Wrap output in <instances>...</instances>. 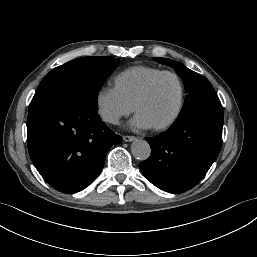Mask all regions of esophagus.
Listing matches in <instances>:
<instances>
[{
	"label": "esophagus",
	"instance_id": "34e87169",
	"mask_svg": "<svg viewBox=\"0 0 257 257\" xmlns=\"http://www.w3.org/2000/svg\"><path fill=\"white\" fill-rule=\"evenodd\" d=\"M137 138L135 137V136H130V135H125L124 137H123V140L125 141V142H131V141H134V140H136Z\"/></svg>",
	"mask_w": 257,
	"mask_h": 257
}]
</instances>
